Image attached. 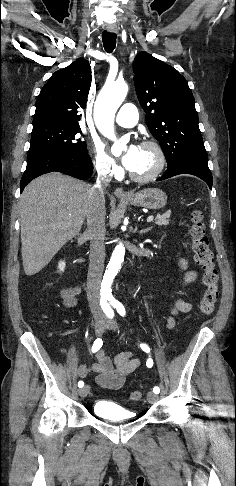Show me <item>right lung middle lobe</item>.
<instances>
[{
  "label": "right lung middle lobe",
  "instance_id": "right-lung-middle-lobe-1",
  "mask_svg": "<svg viewBox=\"0 0 236 486\" xmlns=\"http://www.w3.org/2000/svg\"><path fill=\"white\" fill-rule=\"evenodd\" d=\"M79 125L44 124L33 127L29 152L50 150L87 153L86 143L78 138ZM82 134V133H81Z\"/></svg>",
  "mask_w": 236,
  "mask_h": 486
}]
</instances>
